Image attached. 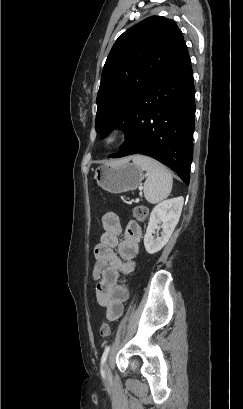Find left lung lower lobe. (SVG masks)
<instances>
[{
    "instance_id": "obj_1",
    "label": "left lung lower lobe",
    "mask_w": 243,
    "mask_h": 409,
    "mask_svg": "<svg viewBox=\"0 0 243 409\" xmlns=\"http://www.w3.org/2000/svg\"><path fill=\"white\" fill-rule=\"evenodd\" d=\"M195 109L193 72L183 40L141 97L120 151L109 157L150 156L177 172L188 184Z\"/></svg>"
}]
</instances>
